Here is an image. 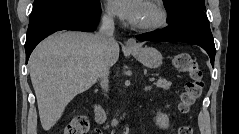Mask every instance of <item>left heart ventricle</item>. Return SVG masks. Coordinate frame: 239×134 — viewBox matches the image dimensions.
<instances>
[{
  "mask_svg": "<svg viewBox=\"0 0 239 134\" xmlns=\"http://www.w3.org/2000/svg\"><path fill=\"white\" fill-rule=\"evenodd\" d=\"M154 19V12L149 8L147 4H144L143 12L138 24H145Z\"/></svg>",
  "mask_w": 239,
  "mask_h": 134,
  "instance_id": "b2bd125f",
  "label": "left heart ventricle"
}]
</instances>
